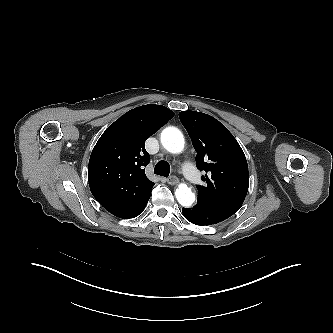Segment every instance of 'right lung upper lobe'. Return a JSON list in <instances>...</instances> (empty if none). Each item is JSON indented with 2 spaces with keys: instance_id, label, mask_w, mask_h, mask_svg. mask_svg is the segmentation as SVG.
Segmentation results:
<instances>
[{
  "instance_id": "obj_1",
  "label": "right lung upper lobe",
  "mask_w": 333,
  "mask_h": 333,
  "mask_svg": "<svg viewBox=\"0 0 333 333\" xmlns=\"http://www.w3.org/2000/svg\"><path fill=\"white\" fill-rule=\"evenodd\" d=\"M174 112L156 104L136 107L102 134L89 160V186L96 200L111 214L125 218L151 194L145 175L150 156L145 141L165 125Z\"/></svg>"
}]
</instances>
